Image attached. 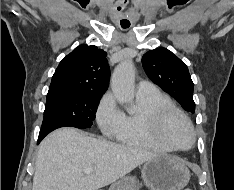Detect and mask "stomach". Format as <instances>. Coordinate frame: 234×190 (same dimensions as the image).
<instances>
[{
    "instance_id": "1",
    "label": "stomach",
    "mask_w": 234,
    "mask_h": 190,
    "mask_svg": "<svg viewBox=\"0 0 234 190\" xmlns=\"http://www.w3.org/2000/svg\"><path fill=\"white\" fill-rule=\"evenodd\" d=\"M142 178L151 190H182L190 180V171L178 158L157 155L142 167ZM134 177H124L111 185L109 190H137Z\"/></svg>"
}]
</instances>
